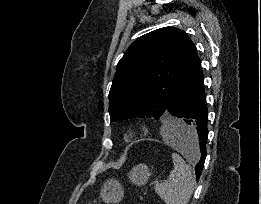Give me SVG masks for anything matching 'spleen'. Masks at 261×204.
Masks as SVG:
<instances>
[{
	"label": "spleen",
	"instance_id": "3e777b00",
	"mask_svg": "<svg viewBox=\"0 0 261 204\" xmlns=\"http://www.w3.org/2000/svg\"><path fill=\"white\" fill-rule=\"evenodd\" d=\"M184 125L183 121L170 117L161 132L165 143L179 150L187 151L173 132L174 127ZM194 149L195 155L199 157L200 151L197 143L194 144ZM172 159L174 169L170 172L168 180L156 186L155 191L166 204H188L194 189L191 168L177 153L172 154Z\"/></svg>",
	"mask_w": 261,
	"mask_h": 204
}]
</instances>
